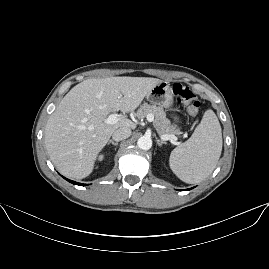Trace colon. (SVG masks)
<instances>
[{
	"label": "colon",
	"mask_w": 269,
	"mask_h": 269,
	"mask_svg": "<svg viewBox=\"0 0 269 269\" xmlns=\"http://www.w3.org/2000/svg\"><path fill=\"white\" fill-rule=\"evenodd\" d=\"M172 92L177 103L183 104L187 113L196 117L200 113L201 101L188 87L182 85L180 82L173 84Z\"/></svg>",
	"instance_id": "obj_1"
}]
</instances>
